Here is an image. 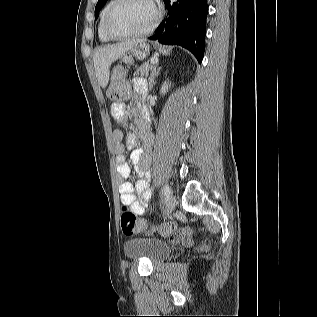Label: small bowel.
<instances>
[{
  "instance_id": "obj_1",
  "label": "small bowel",
  "mask_w": 317,
  "mask_h": 317,
  "mask_svg": "<svg viewBox=\"0 0 317 317\" xmlns=\"http://www.w3.org/2000/svg\"><path fill=\"white\" fill-rule=\"evenodd\" d=\"M133 88L135 96L129 108L123 104L112 105V116L119 123L124 124L127 117L133 119L138 126L139 136L143 140V147L137 148L138 135L129 134L124 137L123 131L118 128L112 132L113 149L116 153V169L119 176L124 181L119 186L120 201L123 205L129 206L136 215L145 213L147 203L151 198L150 189V149L152 145V135L149 131V117L146 111L141 107V98L147 91L146 81L141 77L133 79ZM131 150L130 159L135 167L139 179L134 186L126 179L130 176L131 167L124 157V151ZM136 191V192H135ZM190 236L188 230L182 229L171 235L175 240H186Z\"/></svg>"
}]
</instances>
